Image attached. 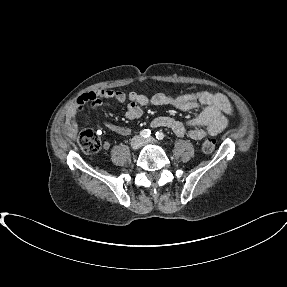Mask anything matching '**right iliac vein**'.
Segmentation results:
<instances>
[{"instance_id":"obj_1","label":"right iliac vein","mask_w":287,"mask_h":287,"mask_svg":"<svg viewBox=\"0 0 287 287\" xmlns=\"http://www.w3.org/2000/svg\"><path fill=\"white\" fill-rule=\"evenodd\" d=\"M142 143V139L139 136H135L134 138H132L130 146L132 149L137 150L142 146Z\"/></svg>"}]
</instances>
